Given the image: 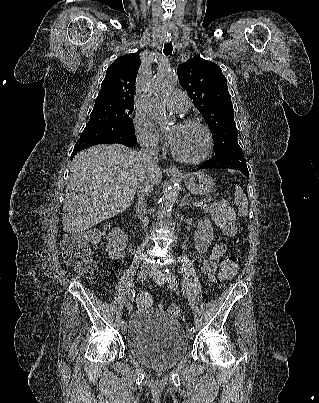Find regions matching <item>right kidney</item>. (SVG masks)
<instances>
[{
    "label": "right kidney",
    "mask_w": 319,
    "mask_h": 403,
    "mask_svg": "<svg viewBox=\"0 0 319 403\" xmlns=\"http://www.w3.org/2000/svg\"><path fill=\"white\" fill-rule=\"evenodd\" d=\"M108 244L106 251L112 260L121 259L125 255V249L128 243L127 235L118 227L112 229L106 237Z\"/></svg>",
    "instance_id": "1"
}]
</instances>
